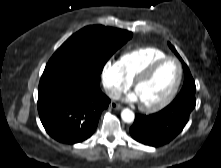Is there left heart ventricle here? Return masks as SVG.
I'll list each match as a JSON object with an SVG mask.
<instances>
[{"instance_id": "obj_1", "label": "left heart ventricle", "mask_w": 221, "mask_h": 168, "mask_svg": "<svg viewBox=\"0 0 221 168\" xmlns=\"http://www.w3.org/2000/svg\"><path fill=\"white\" fill-rule=\"evenodd\" d=\"M178 77V66L174 61L160 65L152 75L141 82L135 94L141 104L151 105L164 99L172 90Z\"/></svg>"}]
</instances>
